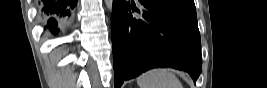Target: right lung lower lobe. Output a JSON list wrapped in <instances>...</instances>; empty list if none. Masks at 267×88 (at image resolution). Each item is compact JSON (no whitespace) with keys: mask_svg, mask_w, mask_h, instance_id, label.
<instances>
[{"mask_svg":"<svg viewBox=\"0 0 267 88\" xmlns=\"http://www.w3.org/2000/svg\"><path fill=\"white\" fill-rule=\"evenodd\" d=\"M76 4L77 0L42 1L40 11L45 16V28L53 34H56L59 28H65Z\"/></svg>","mask_w":267,"mask_h":88,"instance_id":"obj_1","label":"right lung lower lobe"}]
</instances>
